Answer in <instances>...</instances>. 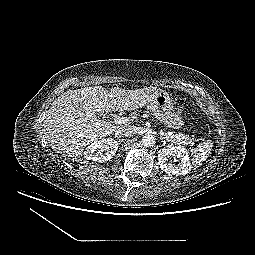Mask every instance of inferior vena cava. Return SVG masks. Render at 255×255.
I'll use <instances>...</instances> for the list:
<instances>
[{
  "mask_svg": "<svg viewBox=\"0 0 255 255\" xmlns=\"http://www.w3.org/2000/svg\"><path fill=\"white\" fill-rule=\"evenodd\" d=\"M135 132V129L133 126H124L120 127L115 131V136L118 138H123V137H129L133 135Z\"/></svg>",
  "mask_w": 255,
  "mask_h": 255,
  "instance_id": "inferior-vena-cava-1",
  "label": "inferior vena cava"
}]
</instances>
